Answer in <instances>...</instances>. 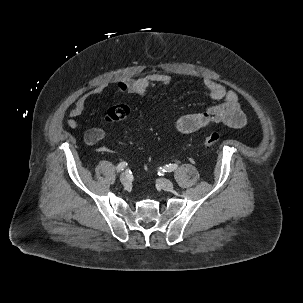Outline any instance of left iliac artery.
Returning a JSON list of instances; mask_svg holds the SVG:
<instances>
[{"mask_svg": "<svg viewBox=\"0 0 303 303\" xmlns=\"http://www.w3.org/2000/svg\"><path fill=\"white\" fill-rule=\"evenodd\" d=\"M178 167L177 164H168V165H165L163 168H160L162 169L161 171L162 172H172L174 170H176Z\"/></svg>", "mask_w": 303, "mask_h": 303, "instance_id": "44dca946", "label": "left iliac artery"}]
</instances>
